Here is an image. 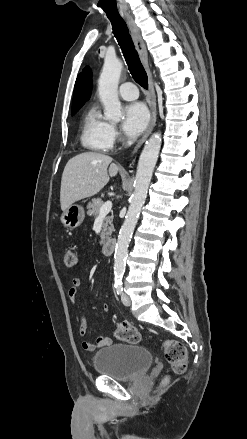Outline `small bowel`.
<instances>
[{
  "label": "small bowel",
  "mask_w": 247,
  "mask_h": 439,
  "mask_svg": "<svg viewBox=\"0 0 247 439\" xmlns=\"http://www.w3.org/2000/svg\"><path fill=\"white\" fill-rule=\"evenodd\" d=\"M81 280L75 278L71 281V285L69 287L68 295L73 303H75V298L78 292L81 289ZM109 306L107 304L103 305V311L108 312ZM80 336L85 338L88 335L87 324L85 315L82 314L80 317V326H79ZM112 344V339L109 336L99 335L96 338L95 342L84 341L82 343V347L86 351H95L96 349L104 346H108Z\"/></svg>",
  "instance_id": "obj_1"
}]
</instances>
